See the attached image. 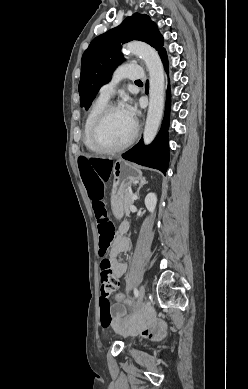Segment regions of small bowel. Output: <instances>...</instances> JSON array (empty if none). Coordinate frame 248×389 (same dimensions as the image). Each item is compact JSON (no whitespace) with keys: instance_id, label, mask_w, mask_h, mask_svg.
Returning <instances> with one entry per match:
<instances>
[{"instance_id":"small-bowel-1","label":"small bowel","mask_w":248,"mask_h":389,"mask_svg":"<svg viewBox=\"0 0 248 389\" xmlns=\"http://www.w3.org/2000/svg\"><path fill=\"white\" fill-rule=\"evenodd\" d=\"M127 230L128 223L122 222L119 225V233L113 240L110 250V259L116 278L124 277L127 271V264L120 262L117 259L119 254L128 252L130 250L131 242L130 239L125 235ZM125 304L131 305L132 301L126 299V301H120L119 304H113L111 307L114 328H120L124 333L128 334H140L146 338H158L164 334V325L158 323L147 315L141 316L135 322L130 321L126 316Z\"/></svg>"}]
</instances>
